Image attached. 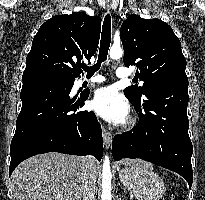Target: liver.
Masks as SVG:
<instances>
[{
    "instance_id": "liver-1",
    "label": "liver",
    "mask_w": 205,
    "mask_h": 200,
    "mask_svg": "<svg viewBox=\"0 0 205 200\" xmlns=\"http://www.w3.org/2000/svg\"><path fill=\"white\" fill-rule=\"evenodd\" d=\"M126 165L145 163L125 159ZM82 157L51 152L30 157L11 175L13 200H81ZM98 175L97 163L94 165Z\"/></svg>"
}]
</instances>
